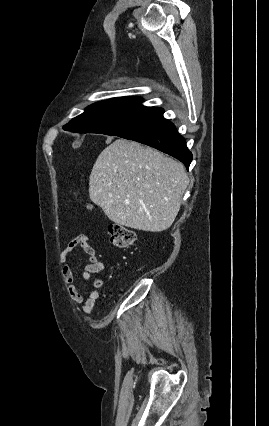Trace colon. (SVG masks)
Returning <instances> with one entry per match:
<instances>
[{"label": "colon", "mask_w": 269, "mask_h": 426, "mask_svg": "<svg viewBox=\"0 0 269 426\" xmlns=\"http://www.w3.org/2000/svg\"><path fill=\"white\" fill-rule=\"evenodd\" d=\"M108 235L111 244L118 248H128L134 244L136 239L133 230L121 225H111Z\"/></svg>", "instance_id": "obj_1"}]
</instances>
